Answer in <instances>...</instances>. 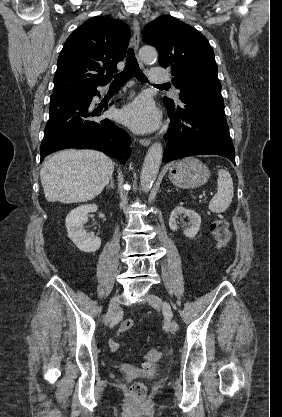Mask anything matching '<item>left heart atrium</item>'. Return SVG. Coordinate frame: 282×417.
Masks as SVG:
<instances>
[{"mask_svg": "<svg viewBox=\"0 0 282 417\" xmlns=\"http://www.w3.org/2000/svg\"><path fill=\"white\" fill-rule=\"evenodd\" d=\"M122 118L138 130H149L157 126L159 114L150 99L140 97L122 112Z\"/></svg>", "mask_w": 282, "mask_h": 417, "instance_id": "1", "label": "left heart atrium"}]
</instances>
